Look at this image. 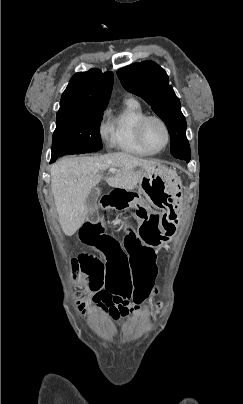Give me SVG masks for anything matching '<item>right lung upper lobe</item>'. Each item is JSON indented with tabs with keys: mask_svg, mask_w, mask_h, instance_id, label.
Returning a JSON list of instances; mask_svg holds the SVG:
<instances>
[{
	"mask_svg": "<svg viewBox=\"0 0 243 404\" xmlns=\"http://www.w3.org/2000/svg\"><path fill=\"white\" fill-rule=\"evenodd\" d=\"M113 85V73L90 69L73 75L61 96L60 109H100L107 106Z\"/></svg>",
	"mask_w": 243,
	"mask_h": 404,
	"instance_id": "right-lung-upper-lobe-1",
	"label": "right lung upper lobe"
}]
</instances>
